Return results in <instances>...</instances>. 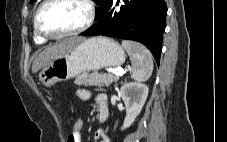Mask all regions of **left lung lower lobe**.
I'll use <instances>...</instances> for the list:
<instances>
[{"label":"left lung lower lobe","instance_id":"0a47b994","mask_svg":"<svg viewBox=\"0 0 227 142\" xmlns=\"http://www.w3.org/2000/svg\"><path fill=\"white\" fill-rule=\"evenodd\" d=\"M121 3L119 9L117 5ZM165 0H110L99 22L81 35H104L144 44L159 64L166 25Z\"/></svg>","mask_w":227,"mask_h":142}]
</instances>
